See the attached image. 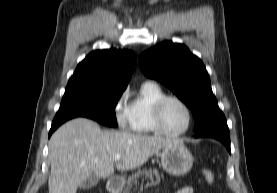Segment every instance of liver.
I'll return each mask as SVG.
<instances>
[{"label": "liver", "instance_id": "1", "mask_svg": "<svg viewBox=\"0 0 277 193\" xmlns=\"http://www.w3.org/2000/svg\"><path fill=\"white\" fill-rule=\"evenodd\" d=\"M178 142L181 141L159 136L103 131L92 120L73 119L50 139L49 193H76L80 183L91 176H113L116 154L122 156L116 162L117 170H132L159 150Z\"/></svg>", "mask_w": 277, "mask_h": 193}]
</instances>
